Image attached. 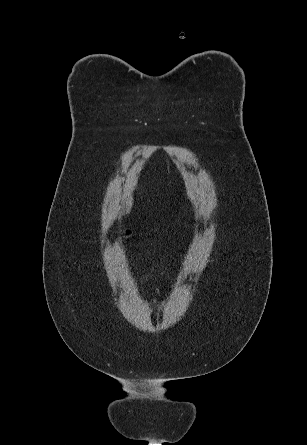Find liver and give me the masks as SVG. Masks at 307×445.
I'll list each match as a JSON object with an SVG mask.
<instances>
[{"mask_svg":"<svg viewBox=\"0 0 307 445\" xmlns=\"http://www.w3.org/2000/svg\"><path fill=\"white\" fill-rule=\"evenodd\" d=\"M133 200H134V198H133V196H131V194H130V196H128V198H127V200H126V202H125V210H126V214H129V212H131V208H132V206H133Z\"/></svg>","mask_w":307,"mask_h":445,"instance_id":"liver-1","label":"liver"}]
</instances>
